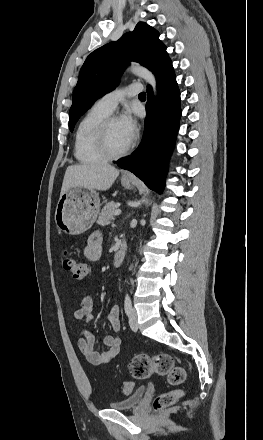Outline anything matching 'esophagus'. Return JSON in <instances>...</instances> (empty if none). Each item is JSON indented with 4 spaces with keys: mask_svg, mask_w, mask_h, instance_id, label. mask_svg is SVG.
I'll return each instance as SVG.
<instances>
[{
    "mask_svg": "<svg viewBox=\"0 0 263 440\" xmlns=\"http://www.w3.org/2000/svg\"><path fill=\"white\" fill-rule=\"evenodd\" d=\"M124 177H126V178H130L131 176H130V174H128V173H124Z\"/></svg>",
    "mask_w": 263,
    "mask_h": 440,
    "instance_id": "obj_1",
    "label": "esophagus"
}]
</instances>
